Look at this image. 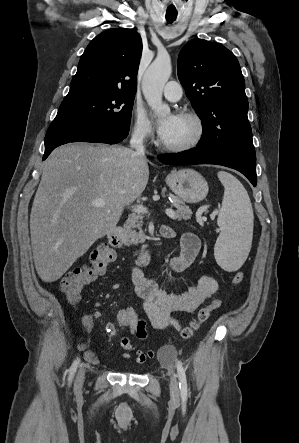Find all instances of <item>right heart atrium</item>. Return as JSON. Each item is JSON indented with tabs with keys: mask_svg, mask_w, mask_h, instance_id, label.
Instances as JSON below:
<instances>
[{
	"mask_svg": "<svg viewBox=\"0 0 299 443\" xmlns=\"http://www.w3.org/2000/svg\"><path fill=\"white\" fill-rule=\"evenodd\" d=\"M132 136L140 143H147L153 137V130L143 109L136 107L133 111Z\"/></svg>",
	"mask_w": 299,
	"mask_h": 443,
	"instance_id": "1",
	"label": "right heart atrium"
}]
</instances>
